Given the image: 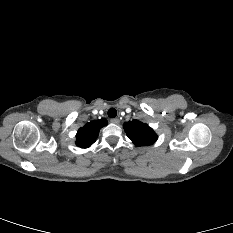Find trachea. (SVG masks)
<instances>
[{
  "label": "trachea",
  "mask_w": 233,
  "mask_h": 233,
  "mask_svg": "<svg viewBox=\"0 0 233 233\" xmlns=\"http://www.w3.org/2000/svg\"><path fill=\"white\" fill-rule=\"evenodd\" d=\"M116 115H117L116 109L110 108V109L108 110V116H109L110 118H115Z\"/></svg>",
  "instance_id": "trachea-1"
}]
</instances>
